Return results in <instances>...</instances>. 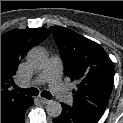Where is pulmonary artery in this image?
Here are the masks:
<instances>
[{"label": "pulmonary artery", "instance_id": "1", "mask_svg": "<svg viewBox=\"0 0 123 123\" xmlns=\"http://www.w3.org/2000/svg\"><path fill=\"white\" fill-rule=\"evenodd\" d=\"M49 83L51 90L63 103L70 104L72 96L61 81V60L53 56L48 61L45 68L39 73L31 84Z\"/></svg>", "mask_w": 123, "mask_h": 123}]
</instances>
